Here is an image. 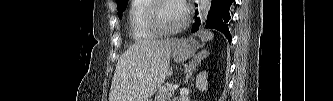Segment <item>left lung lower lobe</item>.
Instances as JSON below:
<instances>
[{
	"label": "left lung lower lobe",
	"mask_w": 333,
	"mask_h": 101,
	"mask_svg": "<svg viewBox=\"0 0 333 101\" xmlns=\"http://www.w3.org/2000/svg\"><path fill=\"white\" fill-rule=\"evenodd\" d=\"M234 0H212L211 8L208 13L205 28H214L221 31L231 42V34L228 29V21L230 20V6ZM199 26V19L192 26V32H195Z\"/></svg>",
	"instance_id": "0a47b994"
}]
</instances>
